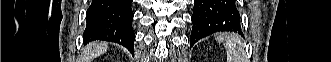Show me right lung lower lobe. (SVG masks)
<instances>
[{
  "label": "right lung lower lobe",
  "instance_id": "1",
  "mask_svg": "<svg viewBox=\"0 0 331 62\" xmlns=\"http://www.w3.org/2000/svg\"><path fill=\"white\" fill-rule=\"evenodd\" d=\"M132 0H92L87 10L84 43L94 40L115 42L134 53Z\"/></svg>",
  "mask_w": 331,
  "mask_h": 62
}]
</instances>
